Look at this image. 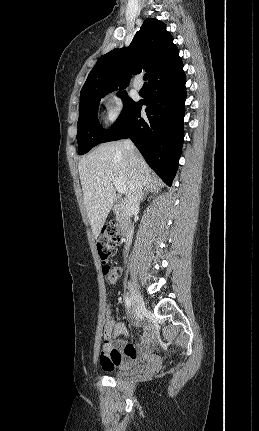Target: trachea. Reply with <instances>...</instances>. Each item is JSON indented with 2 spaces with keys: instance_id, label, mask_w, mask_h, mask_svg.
I'll list each match as a JSON object with an SVG mask.
<instances>
[{
  "instance_id": "3493384b",
  "label": "trachea",
  "mask_w": 259,
  "mask_h": 431,
  "mask_svg": "<svg viewBox=\"0 0 259 431\" xmlns=\"http://www.w3.org/2000/svg\"><path fill=\"white\" fill-rule=\"evenodd\" d=\"M148 80V74L144 75V81L146 82Z\"/></svg>"
}]
</instances>
